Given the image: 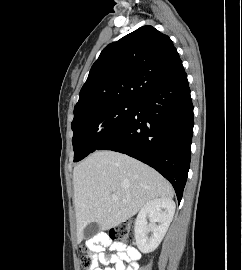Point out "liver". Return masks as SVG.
<instances>
[{
	"instance_id": "6515ba94",
	"label": "liver",
	"mask_w": 242,
	"mask_h": 270,
	"mask_svg": "<svg viewBox=\"0 0 242 270\" xmlns=\"http://www.w3.org/2000/svg\"><path fill=\"white\" fill-rule=\"evenodd\" d=\"M73 185L78 243L89 223L109 230L134 216L147 202L174 196L171 184L154 169L109 150L96 151L75 166Z\"/></svg>"
}]
</instances>
